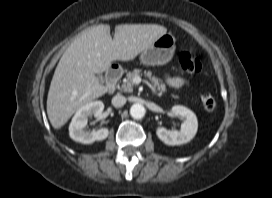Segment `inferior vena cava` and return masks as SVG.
<instances>
[{
    "label": "inferior vena cava",
    "mask_w": 272,
    "mask_h": 198,
    "mask_svg": "<svg viewBox=\"0 0 272 198\" xmlns=\"http://www.w3.org/2000/svg\"><path fill=\"white\" fill-rule=\"evenodd\" d=\"M127 99L121 94H117L112 98V105L116 108L122 107L126 103Z\"/></svg>",
    "instance_id": "602c4592"
}]
</instances>
